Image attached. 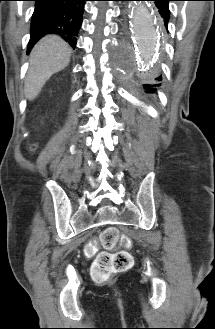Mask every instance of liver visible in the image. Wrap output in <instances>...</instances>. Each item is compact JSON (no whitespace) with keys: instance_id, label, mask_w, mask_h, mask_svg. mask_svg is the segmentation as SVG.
I'll return each instance as SVG.
<instances>
[{"instance_id":"obj_1","label":"liver","mask_w":215,"mask_h":329,"mask_svg":"<svg viewBox=\"0 0 215 329\" xmlns=\"http://www.w3.org/2000/svg\"><path fill=\"white\" fill-rule=\"evenodd\" d=\"M71 51V47L57 35H47L34 46L25 80L28 100H34L47 80L67 67Z\"/></svg>"}]
</instances>
